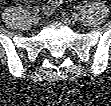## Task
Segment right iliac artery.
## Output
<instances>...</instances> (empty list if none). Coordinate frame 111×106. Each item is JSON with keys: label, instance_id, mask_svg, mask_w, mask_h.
Wrapping results in <instances>:
<instances>
[{"label": "right iliac artery", "instance_id": "1", "mask_svg": "<svg viewBox=\"0 0 111 106\" xmlns=\"http://www.w3.org/2000/svg\"><path fill=\"white\" fill-rule=\"evenodd\" d=\"M32 12H33L34 14H37V13L39 12V8H38V7H34V8L32 9Z\"/></svg>", "mask_w": 111, "mask_h": 106}]
</instances>
